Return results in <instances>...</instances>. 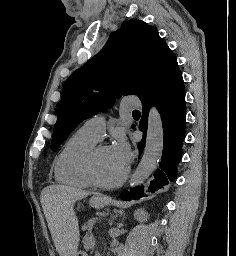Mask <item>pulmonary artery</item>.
<instances>
[{"instance_id": "1", "label": "pulmonary artery", "mask_w": 236, "mask_h": 256, "mask_svg": "<svg viewBox=\"0 0 236 256\" xmlns=\"http://www.w3.org/2000/svg\"><path fill=\"white\" fill-rule=\"evenodd\" d=\"M124 100L123 105L125 109H138V106H142V101H136V96H125ZM80 130L94 138L96 141H100L104 135L105 116L95 115L87 119Z\"/></svg>"}]
</instances>
